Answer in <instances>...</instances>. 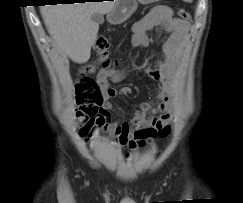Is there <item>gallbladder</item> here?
Masks as SVG:
<instances>
[{"mask_svg":"<svg viewBox=\"0 0 243 203\" xmlns=\"http://www.w3.org/2000/svg\"><path fill=\"white\" fill-rule=\"evenodd\" d=\"M92 21L96 24H102L104 22V17L103 15L99 14V13H94L91 17Z\"/></svg>","mask_w":243,"mask_h":203,"instance_id":"gallbladder-1","label":"gallbladder"}]
</instances>
